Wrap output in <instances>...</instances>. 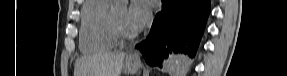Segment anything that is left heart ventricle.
Segmentation results:
<instances>
[{
	"instance_id": "1",
	"label": "left heart ventricle",
	"mask_w": 287,
	"mask_h": 76,
	"mask_svg": "<svg viewBox=\"0 0 287 76\" xmlns=\"http://www.w3.org/2000/svg\"><path fill=\"white\" fill-rule=\"evenodd\" d=\"M115 14L120 22V24L130 31H136V29L131 25L128 18V9L124 5H118L115 8Z\"/></svg>"
}]
</instances>
